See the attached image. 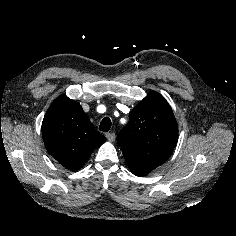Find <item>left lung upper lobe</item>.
Wrapping results in <instances>:
<instances>
[{
    "label": "left lung upper lobe",
    "instance_id": "1",
    "mask_svg": "<svg viewBox=\"0 0 236 236\" xmlns=\"http://www.w3.org/2000/svg\"><path fill=\"white\" fill-rule=\"evenodd\" d=\"M178 139V127L167 101L150 92L131 114L117 142L125 160L158 167L170 157Z\"/></svg>",
    "mask_w": 236,
    "mask_h": 236
}]
</instances>
